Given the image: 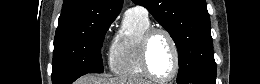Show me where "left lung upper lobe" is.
<instances>
[{
  "instance_id": "left-lung-upper-lobe-1",
  "label": "left lung upper lobe",
  "mask_w": 260,
  "mask_h": 84,
  "mask_svg": "<svg viewBox=\"0 0 260 84\" xmlns=\"http://www.w3.org/2000/svg\"><path fill=\"white\" fill-rule=\"evenodd\" d=\"M169 32L179 54L178 84L215 81L216 63L205 0H133Z\"/></svg>"
}]
</instances>
